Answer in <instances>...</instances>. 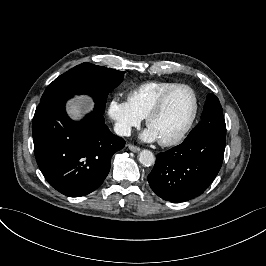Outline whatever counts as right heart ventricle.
<instances>
[{
  "label": "right heart ventricle",
  "instance_id": "e07e8e85",
  "mask_svg": "<svg viewBox=\"0 0 266 266\" xmlns=\"http://www.w3.org/2000/svg\"><path fill=\"white\" fill-rule=\"evenodd\" d=\"M173 81H149L140 84L129 93V102L135 111L146 117L150 108L155 104L160 95L167 89L176 85Z\"/></svg>",
  "mask_w": 266,
  "mask_h": 266
}]
</instances>
